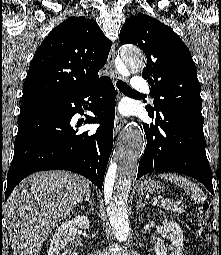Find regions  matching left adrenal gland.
Listing matches in <instances>:
<instances>
[{
  "mask_svg": "<svg viewBox=\"0 0 221 255\" xmlns=\"http://www.w3.org/2000/svg\"><path fill=\"white\" fill-rule=\"evenodd\" d=\"M143 207H144V204L141 202V199L139 198L137 200V210L139 211Z\"/></svg>",
  "mask_w": 221,
  "mask_h": 255,
  "instance_id": "obj_1",
  "label": "left adrenal gland"
}]
</instances>
